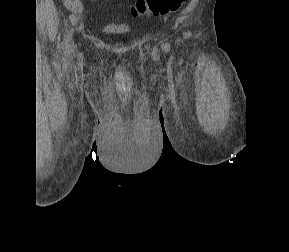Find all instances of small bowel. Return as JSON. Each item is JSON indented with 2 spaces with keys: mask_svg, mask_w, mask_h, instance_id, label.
I'll return each mask as SVG.
<instances>
[{
  "mask_svg": "<svg viewBox=\"0 0 289 252\" xmlns=\"http://www.w3.org/2000/svg\"><path fill=\"white\" fill-rule=\"evenodd\" d=\"M64 5L70 12L75 14L81 13L84 10L82 0H64Z\"/></svg>",
  "mask_w": 289,
  "mask_h": 252,
  "instance_id": "small-bowel-1",
  "label": "small bowel"
}]
</instances>
